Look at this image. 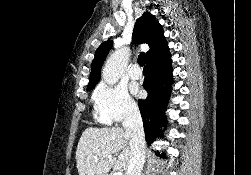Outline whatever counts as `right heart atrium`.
I'll use <instances>...</instances> for the list:
<instances>
[{
  "label": "right heart atrium",
  "instance_id": "1",
  "mask_svg": "<svg viewBox=\"0 0 251 175\" xmlns=\"http://www.w3.org/2000/svg\"><path fill=\"white\" fill-rule=\"evenodd\" d=\"M92 102L96 119L108 125L132 118L138 111L135 101L123 85L105 81L95 88Z\"/></svg>",
  "mask_w": 251,
  "mask_h": 175
}]
</instances>
